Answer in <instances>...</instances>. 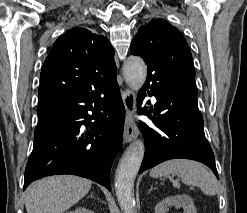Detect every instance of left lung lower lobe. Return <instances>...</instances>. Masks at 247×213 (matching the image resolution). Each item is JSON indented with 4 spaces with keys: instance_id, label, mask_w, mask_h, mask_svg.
I'll return each instance as SVG.
<instances>
[{
    "instance_id": "1",
    "label": "left lung lower lobe",
    "mask_w": 247,
    "mask_h": 213,
    "mask_svg": "<svg viewBox=\"0 0 247 213\" xmlns=\"http://www.w3.org/2000/svg\"><path fill=\"white\" fill-rule=\"evenodd\" d=\"M137 98L139 113L151 118L155 127H139L145 139V155L139 173L174 158H186L206 164L218 178L213 151L205 137L203 118L198 109L197 94L182 82L161 85L147 80ZM150 89V90H149ZM155 96L154 108L140 109L145 92ZM148 103V102H147Z\"/></svg>"
}]
</instances>
